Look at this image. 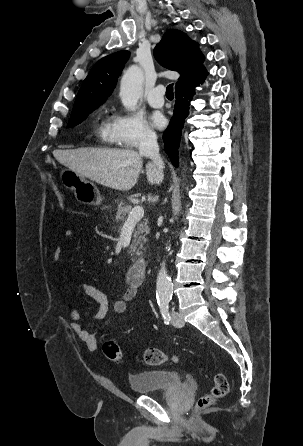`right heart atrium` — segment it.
I'll return each mask as SVG.
<instances>
[{"label": "right heart atrium", "mask_w": 303, "mask_h": 446, "mask_svg": "<svg viewBox=\"0 0 303 446\" xmlns=\"http://www.w3.org/2000/svg\"><path fill=\"white\" fill-rule=\"evenodd\" d=\"M112 135L115 143L125 148L151 144L156 134L142 114L122 113L114 117Z\"/></svg>", "instance_id": "1"}]
</instances>
